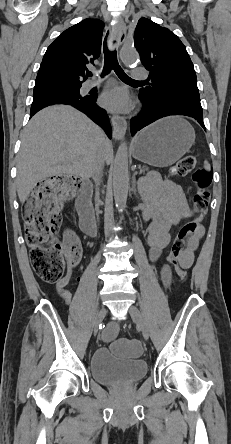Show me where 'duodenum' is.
<instances>
[{
	"label": "duodenum",
	"mask_w": 231,
	"mask_h": 444,
	"mask_svg": "<svg viewBox=\"0 0 231 444\" xmlns=\"http://www.w3.org/2000/svg\"><path fill=\"white\" fill-rule=\"evenodd\" d=\"M92 192V183L89 180H84L76 199L80 228L87 236H95L97 234L96 221L91 209Z\"/></svg>",
	"instance_id": "1"
}]
</instances>
